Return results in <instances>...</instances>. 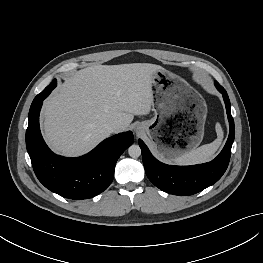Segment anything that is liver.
<instances>
[{
  "mask_svg": "<svg viewBox=\"0 0 263 263\" xmlns=\"http://www.w3.org/2000/svg\"><path fill=\"white\" fill-rule=\"evenodd\" d=\"M163 69L150 63L95 65L75 72L43 106L44 136L63 155L77 156L94 148L117 122L122 132L135 115L153 105L152 75Z\"/></svg>",
  "mask_w": 263,
  "mask_h": 263,
  "instance_id": "obj_1",
  "label": "liver"
}]
</instances>
